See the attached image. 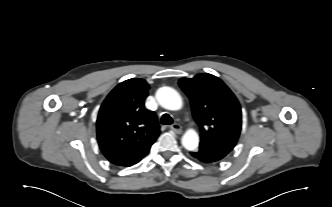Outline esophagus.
Returning a JSON list of instances; mask_svg holds the SVG:
<instances>
[{
	"label": "esophagus",
	"mask_w": 332,
	"mask_h": 207,
	"mask_svg": "<svg viewBox=\"0 0 332 207\" xmlns=\"http://www.w3.org/2000/svg\"><path fill=\"white\" fill-rule=\"evenodd\" d=\"M170 129L172 132L176 133V134H181L182 133V127L180 124H173L170 126Z\"/></svg>",
	"instance_id": "1"
}]
</instances>
